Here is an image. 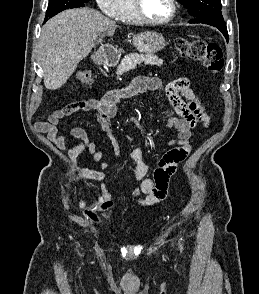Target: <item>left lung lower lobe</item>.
Returning <instances> with one entry per match:
<instances>
[{
  "mask_svg": "<svg viewBox=\"0 0 259 294\" xmlns=\"http://www.w3.org/2000/svg\"><path fill=\"white\" fill-rule=\"evenodd\" d=\"M214 27L218 28L223 33L226 40H228V32H227V28L225 25L224 26H214Z\"/></svg>",
  "mask_w": 259,
  "mask_h": 294,
  "instance_id": "0a47b994",
  "label": "left lung lower lobe"
}]
</instances>
